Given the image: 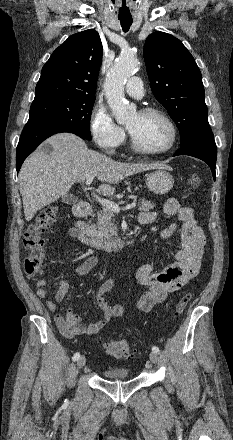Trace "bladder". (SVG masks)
Listing matches in <instances>:
<instances>
[{
    "instance_id": "bladder-1",
    "label": "bladder",
    "mask_w": 233,
    "mask_h": 440,
    "mask_svg": "<svg viewBox=\"0 0 233 440\" xmlns=\"http://www.w3.org/2000/svg\"><path fill=\"white\" fill-rule=\"evenodd\" d=\"M104 376L112 380H125L129 378L126 368H109L104 371Z\"/></svg>"
}]
</instances>
